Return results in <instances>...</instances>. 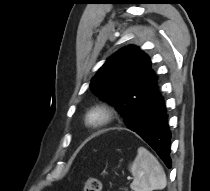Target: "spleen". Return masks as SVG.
Masks as SVG:
<instances>
[{"label":"spleen","instance_id":"1","mask_svg":"<svg viewBox=\"0 0 210 191\" xmlns=\"http://www.w3.org/2000/svg\"><path fill=\"white\" fill-rule=\"evenodd\" d=\"M134 180L130 187L133 191L162 190L166 187V175L158 160L146 148L140 147L130 166Z\"/></svg>","mask_w":210,"mask_h":191}]
</instances>
